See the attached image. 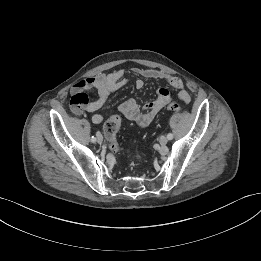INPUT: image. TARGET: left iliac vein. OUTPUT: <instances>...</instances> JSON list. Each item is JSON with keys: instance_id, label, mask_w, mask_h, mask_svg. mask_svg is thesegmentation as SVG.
<instances>
[{"instance_id": "left-iliac-vein-1", "label": "left iliac vein", "mask_w": 261, "mask_h": 261, "mask_svg": "<svg viewBox=\"0 0 261 261\" xmlns=\"http://www.w3.org/2000/svg\"><path fill=\"white\" fill-rule=\"evenodd\" d=\"M159 142L162 146L166 145L167 142H168V139L166 136H161L160 139H159Z\"/></svg>"}]
</instances>
